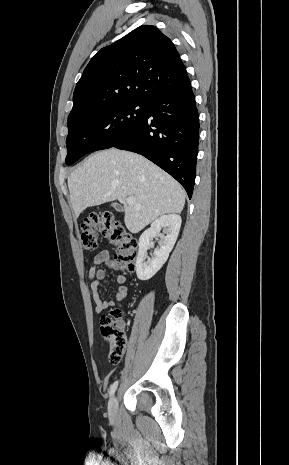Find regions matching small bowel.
<instances>
[{
    "mask_svg": "<svg viewBox=\"0 0 289 465\" xmlns=\"http://www.w3.org/2000/svg\"><path fill=\"white\" fill-rule=\"evenodd\" d=\"M102 265L107 266L112 272H118L120 270L119 262L113 258L108 251H101L94 257L89 270V278L91 280V294L96 304L95 312L97 314H100L103 310L114 306L117 302L124 300L128 294V288L125 285L126 277L120 274L116 277V281L120 284V286L115 293V299H103L100 287L106 278V272L101 268Z\"/></svg>",
    "mask_w": 289,
    "mask_h": 465,
    "instance_id": "1",
    "label": "small bowel"
}]
</instances>
